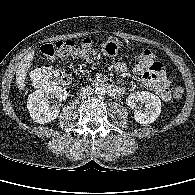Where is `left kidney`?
I'll use <instances>...</instances> for the list:
<instances>
[{"label": "left kidney", "mask_w": 195, "mask_h": 195, "mask_svg": "<svg viewBox=\"0 0 195 195\" xmlns=\"http://www.w3.org/2000/svg\"><path fill=\"white\" fill-rule=\"evenodd\" d=\"M145 104V110H137V103ZM126 104L134 109V119L136 122L147 125L153 123L161 113V100L155 94L147 91L131 93L126 98Z\"/></svg>", "instance_id": "left-kidney-1"}]
</instances>
